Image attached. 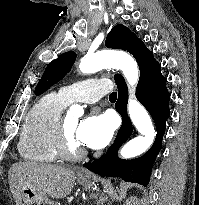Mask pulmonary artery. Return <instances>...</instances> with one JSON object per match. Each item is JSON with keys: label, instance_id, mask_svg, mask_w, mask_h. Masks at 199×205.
Returning a JSON list of instances; mask_svg holds the SVG:
<instances>
[{"label": "pulmonary artery", "instance_id": "1", "mask_svg": "<svg viewBox=\"0 0 199 205\" xmlns=\"http://www.w3.org/2000/svg\"><path fill=\"white\" fill-rule=\"evenodd\" d=\"M107 79L90 78L61 87L59 94L69 104L73 102L95 103L110 91Z\"/></svg>", "mask_w": 199, "mask_h": 205}]
</instances>
